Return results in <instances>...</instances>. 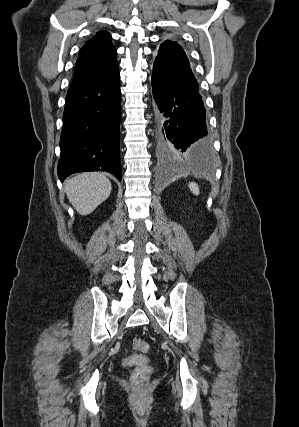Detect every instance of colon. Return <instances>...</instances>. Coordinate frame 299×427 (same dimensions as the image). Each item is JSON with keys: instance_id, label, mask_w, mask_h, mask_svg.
I'll use <instances>...</instances> for the list:
<instances>
[{"instance_id": "1", "label": "colon", "mask_w": 299, "mask_h": 427, "mask_svg": "<svg viewBox=\"0 0 299 427\" xmlns=\"http://www.w3.org/2000/svg\"><path fill=\"white\" fill-rule=\"evenodd\" d=\"M133 348L140 352H147L149 345L147 342L135 338L133 340ZM151 372L152 368L148 365H139L135 368L131 376V382L136 390L143 391L147 387Z\"/></svg>"}]
</instances>
